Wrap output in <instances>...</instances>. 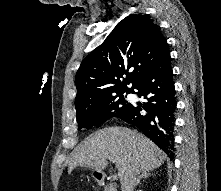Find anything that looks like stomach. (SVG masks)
Masks as SVG:
<instances>
[{
    "label": "stomach",
    "instance_id": "1",
    "mask_svg": "<svg viewBox=\"0 0 221 191\" xmlns=\"http://www.w3.org/2000/svg\"><path fill=\"white\" fill-rule=\"evenodd\" d=\"M99 173H100V172H98V171H94V172H93V176H94L95 178H97L96 176L99 175Z\"/></svg>",
    "mask_w": 221,
    "mask_h": 191
}]
</instances>
